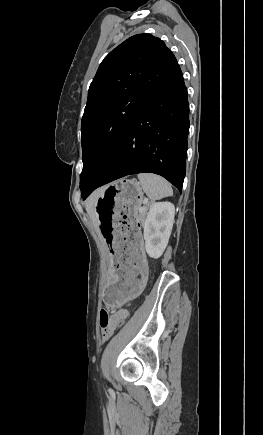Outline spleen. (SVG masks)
I'll use <instances>...</instances> for the list:
<instances>
[{"label": "spleen", "instance_id": "3e777b00", "mask_svg": "<svg viewBox=\"0 0 263 435\" xmlns=\"http://www.w3.org/2000/svg\"><path fill=\"white\" fill-rule=\"evenodd\" d=\"M138 179L143 191L152 200L173 195L170 183L161 176L152 173H140L138 174Z\"/></svg>", "mask_w": 263, "mask_h": 435}]
</instances>
